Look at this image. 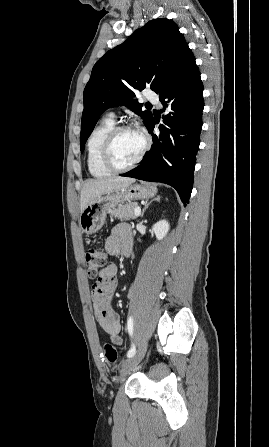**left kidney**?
Masks as SVG:
<instances>
[{
    "instance_id": "obj_1",
    "label": "left kidney",
    "mask_w": 269,
    "mask_h": 447,
    "mask_svg": "<svg viewBox=\"0 0 269 447\" xmlns=\"http://www.w3.org/2000/svg\"><path fill=\"white\" fill-rule=\"evenodd\" d=\"M170 225L166 220H160V222H157V224H154L152 229L157 237V239H163L165 235H167L169 231Z\"/></svg>"
}]
</instances>
